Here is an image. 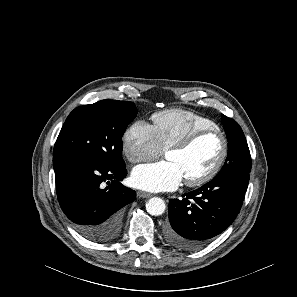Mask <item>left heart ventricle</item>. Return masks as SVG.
<instances>
[{
	"label": "left heart ventricle",
	"mask_w": 297,
	"mask_h": 297,
	"mask_svg": "<svg viewBox=\"0 0 297 297\" xmlns=\"http://www.w3.org/2000/svg\"><path fill=\"white\" fill-rule=\"evenodd\" d=\"M221 152V140L218 136L211 134L200 138L188 149L168 151L166 158L178 163L184 172L185 179H190L210 170Z\"/></svg>",
	"instance_id": "1"
}]
</instances>
